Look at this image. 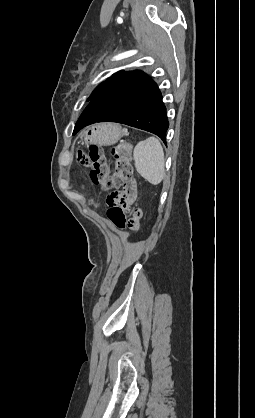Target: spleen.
Returning a JSON list of instances; mask_svg holds the SVG:
<instances>
[{
    "mask_svg": "<svg viewBox=\"0 0 255 418\" xmlns=\"http://www.w3.org/2000/svg\"><path fill=\"white\" fill-rule=\"evenodd\" d=\"M137 172L150 184L161 183L165 176L164 151L160 141L149 137L137 143L133 151Z\"/></svg>",
    "mask_w": 255,
    "mask_h": 418,
    "instance_id": "obj_1",
    "label": "spleen"
}]
</instances>
